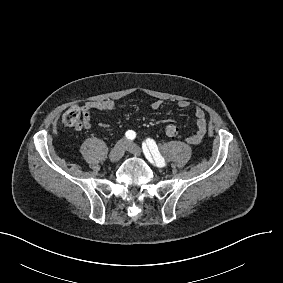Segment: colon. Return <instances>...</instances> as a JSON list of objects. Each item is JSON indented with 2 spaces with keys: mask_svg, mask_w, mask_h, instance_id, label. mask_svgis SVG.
<instances>
[{
  "mask_svg": "<svg viewBox=\"0 0 283 283\" xmlns=\"http://www.w3.org/2000/svg\"><path fill=\"white\" fill-rule=\"evenodd\" d=\"M81 108L78 105L70 107L66 110L63 115V122L67 128H71L73 130H78L82 126V120L80 116ZM179 133V127L175 124L167 125L165 128V134L168 137H175Z\"/></svg>",
  "mask_w": 283,
  "mask_h": 283,
  "instance_id": "1",
  "label": "colon"
}]
</instances>
